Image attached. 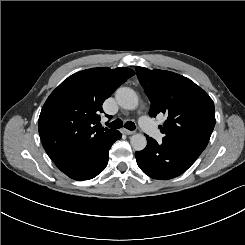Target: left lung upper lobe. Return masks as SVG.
<instances>
[{
    "label": "left lung upper lobe",
    "instance_id": "left-lung-upper-lobe-1",
    "mask_svg": "<svg viewBox=\"0 0 245 245\" xmlns=\"http://www.w3.org/2000/svg\"><path fill=\"white\" fill-rule=\"evenodd\" d=\"M137 77L151 101L150 116H167L163 139L179 143L200 155L215 126L212 99L198 85L179 74L136 67Z\"/></svg>",
    "mask_w": 245,
    "mask_h": 245
}]
</instances>
